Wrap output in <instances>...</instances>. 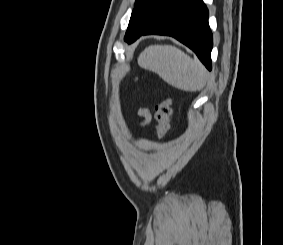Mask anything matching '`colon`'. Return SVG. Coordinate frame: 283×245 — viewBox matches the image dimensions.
<instances>
[{"mask_svg":"<svg viewBox=\"0 0 283 245\" xmlns=\"http://www.w3.org/2000/svg\"><path fill=\"white\" fill-rule=\"evenodd\" d=\"M173 102L171 98H165L155 107V120L157 123V133L159 138H164L170 128V118L173 112Z\"/></svg>","mask_w":283,"mask_h":245,"instance_id":"colon-1","label":"colon"}]
</instances>
